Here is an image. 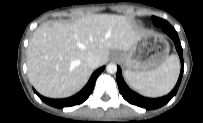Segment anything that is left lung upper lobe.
I'll return each mask as SVG.
<instances>
[{"instance_id":"1","label":"left lung upper lobe","mask_w":203,"mask_h":123,"mask_svg":"<svg viewBox=\"0 0 203 123\" xmlns=\"http://www.w3.org/2000/svg\"><path fill=\"white\" fill-rule=\"evenodd\" d=\"M152 20H153V23H154L156 26H160V25H161V22L164 21L163 19H160V18H157V17H152Z\"/></svg>"}]
</instances>
